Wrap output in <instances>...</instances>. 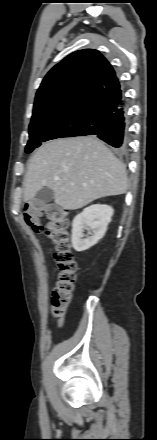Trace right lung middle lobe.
Wrapping results in <instances>:
<instances>
[{
    "label": "right lung middle lobe",
    "instance_id": "1",
    "mask_svg": "<svg viewBox=\"0 0 157 440\" xmlns=\"http://www.w3.org/2000/svg\"><path fill=\"white\" fill-rule=\"evenodd\" d=\"M88 135L86 124L78 121H46L38 120L30 123L29 141L26 145V152L30 153L42 142L62 137L84 136Z\"/></svg>",
    "mask_w": 157,
    "mask_h": 440
}]
</instances>
